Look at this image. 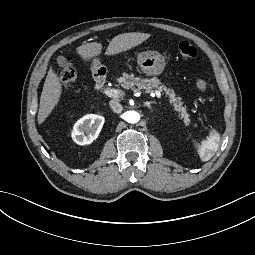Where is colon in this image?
<instances>
[{"instance_id": "5ec220e1", "label": "colon", "mask_w": 255, "mask_h": 255, "mask_svg": "<svg viewBox=\"0 0 255 255\" xmlns=\"http://www.w3.org/2000/svg\"><path fill=\"white\" fill-rule=\"evenodd\" d=\"M179 57L184 60H191L197 56V49L190 43L183 41L177 47ZM76 74L72 67H64L60 73L59 78L64 88H68L70 84L75 80ZM196 86L199 90L204 91L208 83L204 79H198Z\"/></svg>"}]
</instances>
